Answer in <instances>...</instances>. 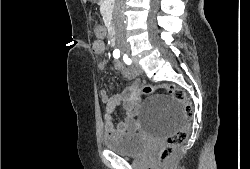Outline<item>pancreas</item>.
Returning a JSON list of instances; mask_svg holds the SVG:
<instances>
[{
    "label": "pancreas",
    "mask_w": 250,
    "mask_h": 169,
    "mask_svg": "<svg viewBox=\"0 0 250 169\" xmlns=\"http://www.w3.org/2000/svg\"><path fill=\"white\" fill-rule=\"evenodd\" d=\"M100 4L104 6L103 10H110L113 6V0H100Z\"/></svg>",
    "instance_id": "pancreas-1"
}]
</instances>
